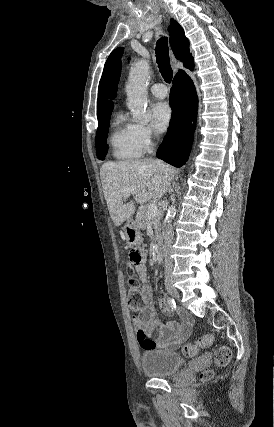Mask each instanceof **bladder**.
I'll use <instances>...</instances> for the list:
<instances>
[{
    "instance_id": "obj_1",
    "label": "bladder",
    "mask_w": 274,
    "mask_h": 427,
    "mask_svg": "<svg viewBox=\"0 0 274 427\" xmlns=\"http://www.w3.org/2000/svg\"><path fill=\"white\" fill-rule=\"evenodd\" d=\"M143 373L153 378H171L183 367L178 352L146 349L140 355Z\"/></svg>"
}]
</instances>
